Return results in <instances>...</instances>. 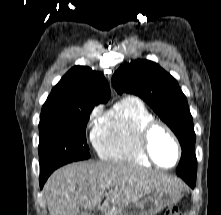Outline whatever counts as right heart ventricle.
I'll list each match as a JSON object with an SVG mask.
<instances>
[{"label":"right heart ventricle","instance_id":"1","mask_svg":"<svg viewBox=\"0 0 221 215\" xmlns=\"http://www.w3.org/2000/svg\"><path fill=\"white\" fill-rule=\"evenodd\" d=\"M152 120V112L141 99L125 97L108 110L94 128L93 146L105 160L150 166L139 147L138 137Z\"/></svg>","mask_w":221,"mask_h":215}]
</instances>
